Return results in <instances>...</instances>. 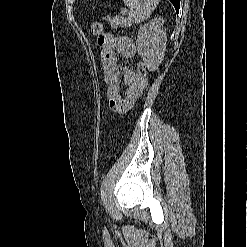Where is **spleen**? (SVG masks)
<instances>
[{"label": "spleen", "mask_w": 248, "mask_h": 247, "mask_svg": "<svg viewBox=\"0 0 248 247\" xmlns=\"http://www.w3.org/2000/svg\"><path fill=\"white\" fill-rule=\"evenodd\" d=\"M123 2L130 8L128 21L141 23L150 17L159 0H123Z\"/></svg>", "instance_id": "spleen-1"}]
</instances>
